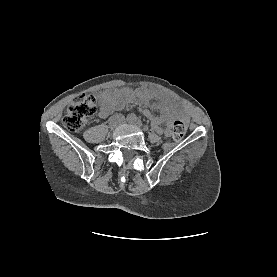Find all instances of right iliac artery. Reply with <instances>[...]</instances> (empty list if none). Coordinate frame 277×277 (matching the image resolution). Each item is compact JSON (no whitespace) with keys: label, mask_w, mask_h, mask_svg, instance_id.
Segmentation results:
<instances>
[{"label":"right iliac artery","mask_w":277,"mask_h":277,"mask_svg":"<svg viewBox=\"0 0 277 277\" xmlns=\"http://www.w3.org/2000/svg\"><path fill=\"white\" fill-rule=\"evenodd\" d=\"M135 119H136V118H135L134 116H129V118H128V120H129L130 122H134Z\"/></svg>","instance_id":"obj_1"}]
</instances>
